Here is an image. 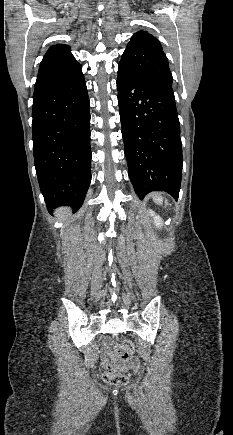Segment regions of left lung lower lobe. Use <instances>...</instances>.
Returning a JSON list of instances; mask_svg holds the SVG:
<instances>
[{
    "instance_id": "0a47b994",
    "label": "left lung lower lobe",
    "mask_w": 233,
    "mask_h": 435,
    "mask_svg": "<svg viewBox=\"0 0 233 435\" xmlns=\"http://www.w3.org/2000/svg\"><path fill=\"white\" fill-rule=\"evenodd\" d=\"M118 104L128 172L140 198L165 191L178 198L182 178L180 125L173 90L119 65Z\"/></svg>"
}]
</instances>
